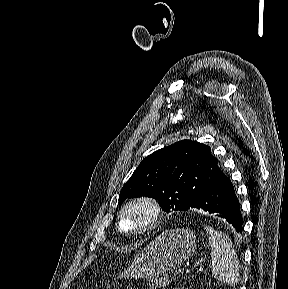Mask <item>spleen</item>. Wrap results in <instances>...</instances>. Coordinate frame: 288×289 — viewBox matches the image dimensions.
<instances>
[{"label":"spleen","mask_w":288,"mask_h":289,"mask_svg":"<svg viewBox=\"0 0 288 289\" xmlns=\"http://www.w3.org/2000/svg\"><path fill=\"white\" fill-rule=\"evenodd\" d=\"M211 246L212 275L229 285L239 282V259L230 239L223 233L205 226Z\"/></svg>","instance_id":"obj_1"}]
</instances>
